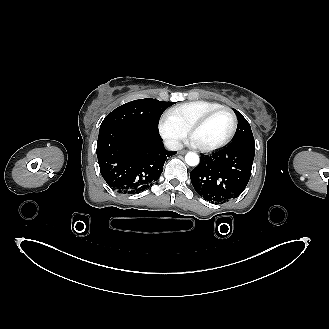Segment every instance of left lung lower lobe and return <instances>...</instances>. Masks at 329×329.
<instances>
[{"label": "left lung lower lobe", "instance_id": "obj_1", "mask_svg": "<svg viewBox=\"0 0 329 329\" xmlns=\"http://www.w3.org/2000/svg\"><path fill=\"white\" fill-rule=\"evenodd\" d=\"M255 144L227 146L211 155H201L190 173L196 192L207 201L225 203L237 198L247 186Z\"/></svg>", "mask_w": 329, "mask_h": 329}]
</instances>
